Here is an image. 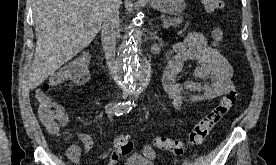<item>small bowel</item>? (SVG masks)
Wrapping results in <instances>:
<instances>
[{"label":"small bowel","instance_id":"c3829d8e","mask_svg":"<svg viewBox=\"0 0 276 165\" xmlns=\"http://www.w3.org/2000/svg\"><path fill=\"white\" fill-rule=\"evenodd\" d=\"M196 61L194 79L177 82V75L187 61ZM233 69L224 55L212 46L207 37L200 32H190L175 44L167 56V64L163 75V88L170 97L174 108L181 109L185 103L196 104L210 101L228 94L235 89L232 81ZM84 151H89L93 142L89 135L78 133ZM146 148L145 154L148 158ZM81 150L73 145L69 149L70 158L77 161ZM120 155L114 151L108 165H116Z\"/></svg>","mask_w":276,"mask_h":165}]
</instances>
